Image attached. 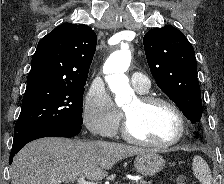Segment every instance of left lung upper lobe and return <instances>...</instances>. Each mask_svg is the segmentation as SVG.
I'll return each instance as SVG.
<instances>
[{
  "mask_svg": "<svg viewBox=\"0 0 224 184\" xmlns=\"http://www.w3.org/2000/svg\"><path fill=\"white\" fill-rule=\"evenodd\" d=\"M150 71L159 88L192 123L202 116L195 52L185 35L166 25L148 31L143 38Z\"/></svg>",
  "mask_w": 224,
  "mask_h": 184,
  "instance_id": "obj_1",
  "label": "left lung upper lobe"
}]
</instances>
